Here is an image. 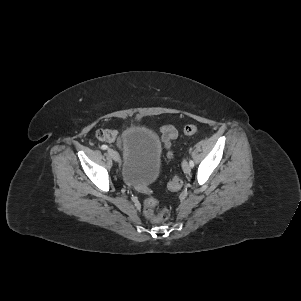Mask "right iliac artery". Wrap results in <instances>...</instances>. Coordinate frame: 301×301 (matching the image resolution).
<instances>
[{"mask_svg":"<svg viewBox=\"0 0 301 301\" xmlns=\"http://www.w3.org/2000/svg\"><path fill=\"white\" fill-rule=\"evenodd\" d=\"M107 148H108L107 145H102V146H101V149H103V150H106Z\"/></svg>","mask_w":301,"mask_h":301,"instance_id":"1","label":"right iliac artery"}]
</instances>
